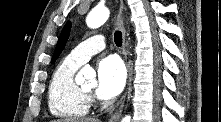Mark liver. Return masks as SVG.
Segmentation results:
<instances>
[{
    "instance_id": "obj_1",
    "label": "liver",
    "mask_w": 221,
    "mask_h": 122,
    "mask_svg": "<svg viewBox=\"0 0 221 122\" xmlns=\"http://www.w3.org/2000/svg\"><path fill=\"white\" fill-rule=\"evenodd\" d=\"M54 122H100V120L98 119H94V118H80V119H60Z\"/></svg>"
}]
</instances>
